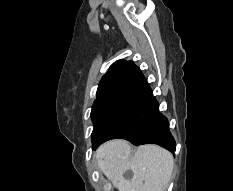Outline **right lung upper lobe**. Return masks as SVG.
<instances>
[{"instance_id":"right-lung-upper-lobe-1","label":"right lung upper lobe","mask_w":233,"mask_h":191,"mask_svg":"<svg viewBox=\"0 0 233 191\" xmlns=\"http://www.w3.org/2000/svg\"><path fill=\"white\" fill-rule=\"evenodd\" d=\"M141 76V70L131 61H116L102 77L94 102L125 94Z\"/></svg>"}]
</instances>
